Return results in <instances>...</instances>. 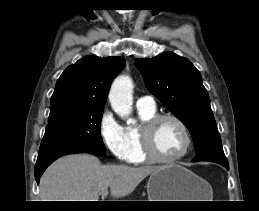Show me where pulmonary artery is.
<instances>
[{
  "mask_svg": "<svg viewBox=\"0 0 259 211\" xmlns=\"http://www.w3.org/2000/svg\"><path fill=\"white\" fill-rule=\"evenodd\" d=\"M137 107H143V108H149V109H155V101L153 97L151 96H143L140 97L136 102Z\"/></svg>",
  "mask_w": 259,
  "mask_h": 211,
  "instance_id": "1",
  "label": "pulmonary artery"
}]
</instances>
